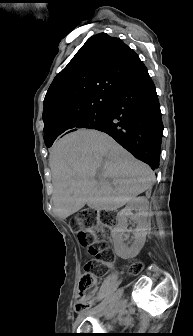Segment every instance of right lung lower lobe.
I'll list each match as a JSON object with an SVG mask.
<instances>
[{
	"label": "right lung lower lobe",
	"instance_id": "obj_1",
	"mask_svg": "<svg viewBox=\"0 0 193 336\" xmlns=\"http://www.w3.org/2000/svg\"><path fill=\"white\" fill-rule=\"evenodd\" d=\"M98 130L152 169L158 168L163 123L155 86L143 63L113 97L107 122Z\"/></svg>",
	"mask_w": 193,
	"mask_h": 336
}]
</instances>
